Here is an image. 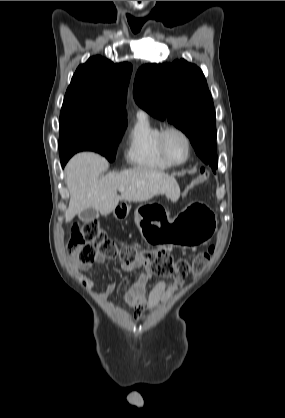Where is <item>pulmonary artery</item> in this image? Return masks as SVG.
<instances>
[{"label":"pulmonary artery","instance_id":"obj_1","mask_svg":"<svg viewBox=\"0 0 285 418\" xmlns=\"http://www.w3.org/2000/svg\"><path fill=\"white\" fill-rule=\"evenodd\" d=\"M146 115V113L145 112H143V111H140L139 113H138V116H145Z\"/></svg>","mask_w":285,"mask_h":418}]
</instances>
